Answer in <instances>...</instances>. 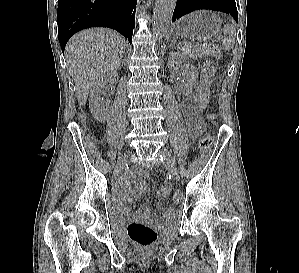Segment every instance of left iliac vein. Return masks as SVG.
<instances>
[{"label": "left iliac vein", "mask_w": 299, "mask_h": 273, "mask_svg": "<svg viewBox=\"0 0 299 273\" xmlns=\"http://www.w3.org/2000/svg\"><path fill=\"white\" fill-rule=\"evenodd\" d=\"M160 153L164 156L165 158L164 165L172 175L173 179L179 181L180 180L179 171L170 153L165 149L160 150Z\"/></svg>", "instance_id": "4c4485c4"}]
</instances>
